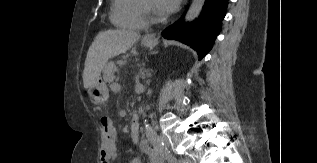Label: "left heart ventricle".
Instances as JSON below:
<instances>
[{
  "label": "left heart ventricle",
  "instance_id": "1",
  "mask_svg": "<svg viewBox=\"0 0 317 163\" xmlns=\"http://www.w3.org/2000/svg\"><path fill=\"white\" fill-rule=\"evenodd\" d=\"M145 1L156 15L162 16V14L156 8L155 0H145Z\"/></svg>",
  "mask_w": 317,
  "mask_h": 163
}]
</instances>
